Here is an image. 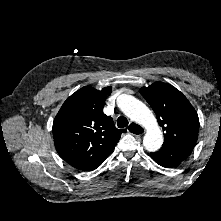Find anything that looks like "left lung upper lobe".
<instances>
[{
	"mask_svg": "<svg viewBox=\"0 0 221 221\" xmlns=\"http://www.w3.org/2000/svg\"><path fill=\"white\" fill-rule=\"evenodd\" d=\"M154 110L164 132L162 147L196 143L199 131L197 112L187 98L172 85L156 82L140 89Z\"/></svg>",
	"mask_w": 221,
	"mask_h": 221,
	"instance_id": "1",
	"label": "left lung upper lobe"
}]
</instances>
